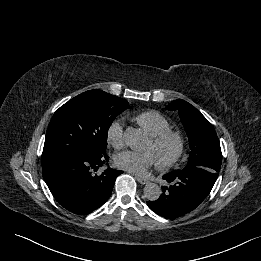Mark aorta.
Masks as SVG:
<instances>
[{"label": "aorta", "instance_id": "762f6f07", "mask_svg": "<svg viewBox=\"0 0 261 261\" xmlns=\"http://www.w3.org/2000/svg\"><path fill=\"white\" fill-rule=\"evenodd\" d=\"M125 140L132 150H141L147 139L141 129L129 127L125 132ZM144 195L148 200L155 201L161 195V188L155 183H148L144 187Z\"/></svg>", "mask_w": 261, "mask_h": 261}]
</instances>
